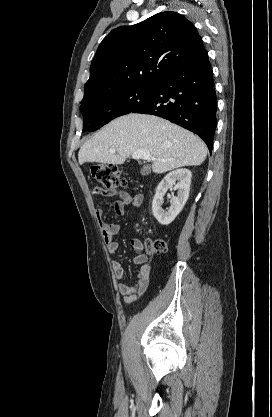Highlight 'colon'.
I'll return each instance as SVG.
<instances>
[{
    "label": "colon",
    "mask_w": 272,
    "mask_h": 417,
    "mask_svg": "<svg viewBox=\"0 0 272 417\" xmlns=\"http://www.w3.org/2000/svg\"><path fill=\"white\" fill-rule=\"evenodd\" d=\"M91 176L107 188H115L125 183L121 170L114 164H97L91 167ZM167 248L163 240H156L151 244V253H160Z\"/></svg>",
    "instance_id": "5ec220e1"
}]
</instances>
